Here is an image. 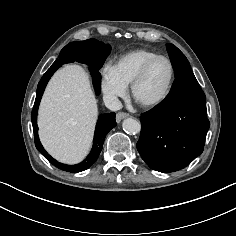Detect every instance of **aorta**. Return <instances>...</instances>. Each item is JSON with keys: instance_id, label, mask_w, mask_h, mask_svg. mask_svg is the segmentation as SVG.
I'll return each instance as SVG.
<instances>
[{"instance_id": "762f6f07", "label": "aorta", "mask_w": 236, "mask_h": 236, "mask_svg": "<svg viewBox=\"0 0 236 236\" xmlns=\"http://www.w3.org/2000/svg\"><path fill=\"white\" fill-rule=\"evenodd\" d=\"M123 130L130 134H136L139 133L141 130L140 122L133 119V118H127L122 123Z\"/></svg>"}]
</instances>
